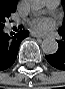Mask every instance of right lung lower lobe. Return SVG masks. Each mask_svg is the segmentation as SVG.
<instances>
[{"label": "right lung lower lobe", "instance_id": "1", "mask_svg": "<svg viewBox=\"0 0 65 89\" xmlns=\"http://www.w3.org/2000/svg\"><path fill=\"white\" fill-rule=\"evenodd\" d=\"M0 29V71L9 68L16 60L21 41L29 36V31L20 30L10 37Z\"/></svg>", "mask_w": 65, "mask_h": 89}]
</instances>
